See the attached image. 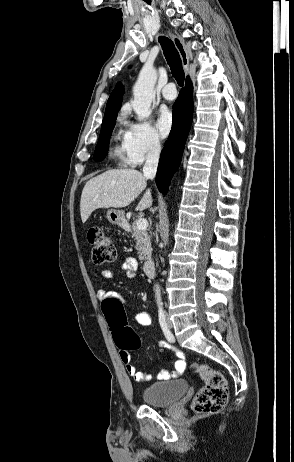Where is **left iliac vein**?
Instances as JSON below:
<instances>
[{"instance_id": "obj_1", "label": "left iliac vein", "mask_w": 294, "mask_h": 462, "mask_svg": "<svg viewBox=\"0 0 294 462\" xmlns=\"http://www.w3.org/2000/svg\"><path fill=\"white\" fill-rule=\"evenodd\" d=\"M166 320H167V325H168V327H169V328H172L173 325H172V322H171V320H170L168 314L166 315Z\"/></svg>"}]
</instances>
